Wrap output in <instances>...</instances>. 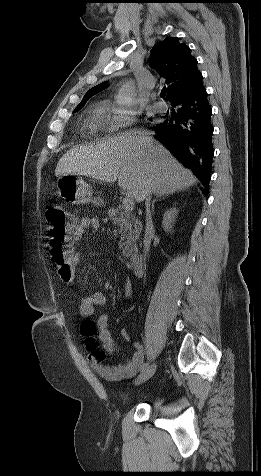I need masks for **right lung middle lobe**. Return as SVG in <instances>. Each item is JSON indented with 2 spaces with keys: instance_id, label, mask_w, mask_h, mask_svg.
<instances>
[{
  "instance_id": "right-lung-middle-lobe-1",
  "label": "right lung middle lobe",
  "mask_w": 261,
  "mask_h": 476,
  "mask_svg": "<svg viewBox=\"0 0 261 476\" xmlns=\"http://www.w3.org/2000/svg\"><path fill=\"white\" fill-rule=\"evenodd\" d=\"M81 107H82V106L77 107V108L74 110V112L77 111V110H79Z\"/></svg>"
}]
</instances>
